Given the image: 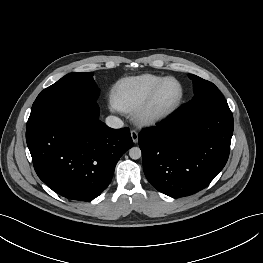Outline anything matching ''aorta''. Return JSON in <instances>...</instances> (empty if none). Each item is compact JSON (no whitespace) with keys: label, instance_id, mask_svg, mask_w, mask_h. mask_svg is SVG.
Returning a JSON list of instances; mask_svg holds the SVG:
<instances>
[{"label":"aorta","instance_id":"762f6f07","mask_svg":"<svg viewBox=\"0 0 263 263\" xmlns=\"http://www.w3.org/2000/svg\"><path fill=\"white\" fill-rule=\"evenodd\" d=\"M141 150L139 147H132L130 150H129V156L130 158L132 159H139L141 157Z\"/></svg>","mask_w":263,"mask_h":263}]
</instances>
